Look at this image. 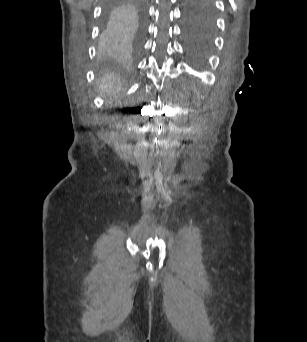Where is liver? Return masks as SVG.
Instances as JSON below:
<instances>
[{
    "label": "liver",
    "mask_w": 307,
    "mask_h": 342,
    "mask_svg": "<svg viewBox=\"0 0 307 342\" xmlns=\"http://www.w3.org/2000/svg\"><path fill=\"white\" fill-rule=\"evenodd\" d=\"M116 78L113 76V74H108V76H104V78H100L99 88L101 94H104V92H109V94H116L118 90H120V86H117L116 90H114V82Z\"/></svg>",
    "instance_id": "obj_1"
}]
</instances>
